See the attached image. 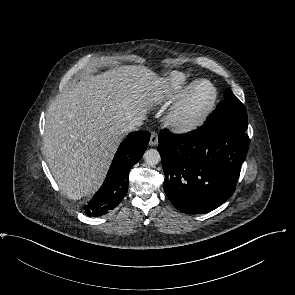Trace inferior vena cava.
<instances>
[{
  "label": "inferior vena cava",
  "mask_w": 295,
  "mask_h": 295,
  "mask_svg": "<svg viewBox=\"0 0 295 295\" xmlns=\"http://www.w3.org/2000/svg\"><path fill=\"white\" fill-rule=\"evenodd\" d=\"M143 119L142 118H134L132 121H130L129 124H127L124 129L123 133H129L135 130H138V128L142 125Z\"/></svg>",
  "instance_id": "obj_1"
}]
</instances>
